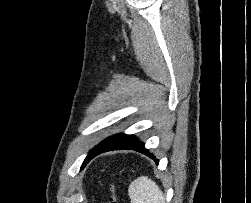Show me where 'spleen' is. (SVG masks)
<instances>
[{"mask_svg":"<svg viewBox=\"0 0 251 203\" xmlns=\"http://www.w3.org/2000/svg\"><path fill=\"white\" fill-rule=\"evenodd\" d=\"M131 203H165L158 185L146 176L134 180L128 189Z\"/></svg>","mask_w":251,"mask_h":203,"instance_id":"1","label":"spleen"}]
</instances>
